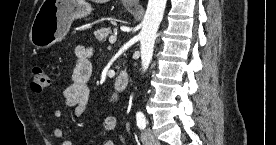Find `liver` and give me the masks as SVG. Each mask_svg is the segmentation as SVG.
Returning <instances> with one entry per match:
<instances>
[{
  "label": "liver",
  "mask_w": 276,
  "mask_h": 145,
  "mask_svg": "<svg viewBox=\"0 0 276 145\" xmlns=\"http://www.w3.org/2000/svg\"><path fill=\"white\" fill-rule=\"evenodd\" d=\"M92 1L95 2V3H100V4H102V3L107 2L108 0H92Z\"/></svg>",
  "instance_id": "6515ba94"
}]
</instances>
